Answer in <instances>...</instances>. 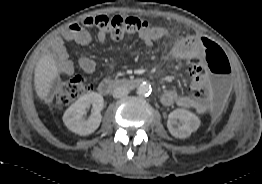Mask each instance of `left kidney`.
Here are the masks:
<instances>
[{"instance_id": "left-kidney-1", "label": "left kidney", "mask_w": 262, "mask_h": 184, "mask_svg": "<svg viewBox=\"0 0 262 184\" xmlns=\"http://www.w3.org/2000/svg\"><path fill=\"white\" fill-rule=\"evenodd\" d=\"M178 120L181 124L178 123ZM199 126L200 119L194 113L185 109H176L168 116V130L176 138H188Z\"/></svg>"}]
</instances>
